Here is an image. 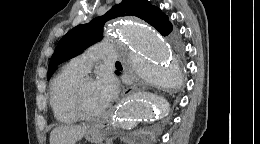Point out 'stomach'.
<instances>
[{
  "label": "stomach",
  "mask_w": 260,
  "mask_h": 144,
  "mask_svg": "<svg viewBox=\"0 0 260 144\" xmlns=\"http://www.w3.org/2000/svg\"><path fill=\"white\" fill-rule=\"evenodd\" d=\"M86 139L91 144H102L104 135L99 128L93 127L86 132Z\"/></svg>",
  "instance_id": "0dacf381"
}]
</instances>
